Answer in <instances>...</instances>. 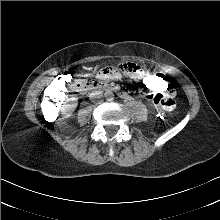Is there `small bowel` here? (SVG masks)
<instances>
[{"label": "small bowel", "instance_id": "obj_1", "mask_svg": "<svg viewBox=\"0 0 220 220\" xmlns=\"http://www.w3.org/2000/svg\"><path fill=\"white\" fill-rule=\"evenodd\" d=\"M139 66L136 65L134 61H127L124 63L116 64L110 67H102L97 72V77L91 78V85L92 86H101L104 85L106 82H109L113 79H124L126 77H131L139 73ZM145 88V87H144ZM146 89V88H145ZM147 90V89H146ZM149 91V90H148ZM151 92V91H150ZM156 94L151 92L150 95L144 94L145 98H150L151 95ZM163 95H171L174 97L175 91L174 89L169 86L168 90Z\"/></svg>", "mask_w": 220, "mask_h": 220}]
</instances>
